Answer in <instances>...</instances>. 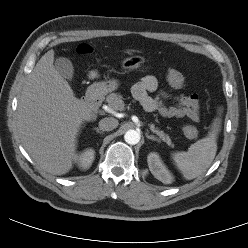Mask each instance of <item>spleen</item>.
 Returning a JSON list of instances; mask_svg holds the SVG:
<instances>
[{
  "label": "spleen",
  "mask_w": 248,
  "mask_h": 248,
  "mask_svg": "<svg viewBox=\"0 0 248 248\" xmlns=\"http://www.w3.org/2000/svg\"><path fill=\"white\" fill-rule=\"evenodd\" d=\"M221 110L213 120L211 129L205 138L192 144L187 152L172 153L178 170L186 180H192L203 174L215 158L217 151V136L221 128Z\"/></svg>",
  "instance_id": "obj_1"
}]
</instances>
